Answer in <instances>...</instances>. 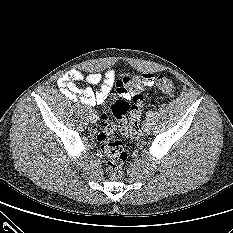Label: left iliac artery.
<instances>
[{"label": "left iliac artery", "instance_id": "44dca946", "mask_svg": "<svg viewBox=\"0 0 233 233\" xmlns=\"http://www.w3.org/2000/svg\"><path fill=\"white\" fill-rule=\"evenodd\" d=\"M153 114H154V113H153L152 111H149V112H147V117H148V118L153 117Z\"/></svg>", "mask_w": 233, "mask_h": 233}]
</instances>
